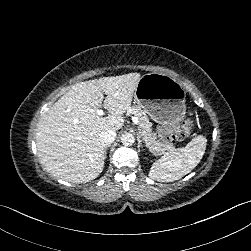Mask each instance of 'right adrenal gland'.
<instances>
[{"label":"right adrenal gland","mask_w":251,"mask_h":251,"mask_svg":"<svg viewBox=\"0 0 251 251\" xmlns=\"http://www.w3.org/2000/svg\"><path fill=\"white\" fill-rule=\"evenodd\" d=\"M104 157H105V159L107 158V147H105V149H104Z\"/></svg>","instance_id":"right-adrenal-gland-1"}]
</instances>
